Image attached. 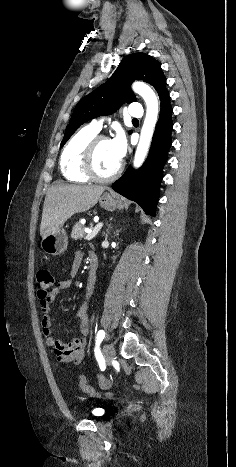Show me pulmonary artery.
I'll use <instances>...</instances> for the list:
<instances>
[{
	"mask_svg": "<svg viewBox=\"0 0 236 467\" xmlns=\"http://www.w3.org/2000/svg\"><path fill=\"white\" fill-rule=\"evenodd\" d=\"M128 114L134 118H141L143 116V108L139 102H134L131 104L128 110ZM103 118L93 119L89 123V127L93 130L99 132L102 128Z\"/></svg>",
	"mask_w": 236,
	"mask_h": 467,
	"instance_id": "e3ab8cb5",
	"label": "pulmonary artery"
}]
</instances>
